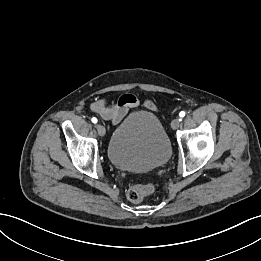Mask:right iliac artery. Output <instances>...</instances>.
<instances>
[{"label":"right iliac artery","mask_w":261,"mask_h":261,"mask_svg":"<svg viewBox=\"0 0 261 261\" xmlns=\"http://www.w3.org/2000/svg\"><path fill=\"white\" fill-rule=\"evenodd\" d=\"M91 121H92V123H94V124H96V123L98 122V120H97L96 117H93V118L91 119Z\"/></svg>","instance_id":"82829eb1"}]
</instances>
